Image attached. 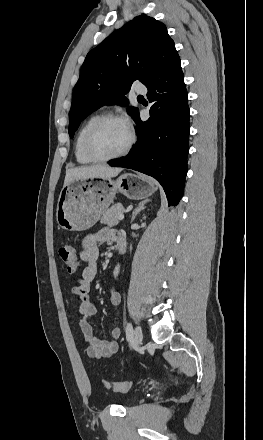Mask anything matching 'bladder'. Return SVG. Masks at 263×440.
I'll use <instances>...</instances> for the list:
<instances>
[{"label": "bladder", "mask_w": 263, "mask_h": 440, "mask_svg": "<svg viewBox=\"0 0 263 440\" xmlns=\"http://www.w3.org/2000/svg\"><path fill=\"white\" fill-rule=\"evenodd\" d=\"M133 400H135V397L130 399V401H133Z\"/></svg>", "instance_id": "obj_1"}]
</instances>
